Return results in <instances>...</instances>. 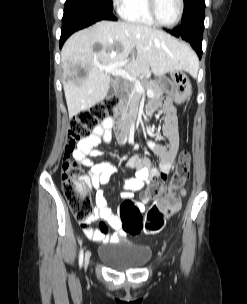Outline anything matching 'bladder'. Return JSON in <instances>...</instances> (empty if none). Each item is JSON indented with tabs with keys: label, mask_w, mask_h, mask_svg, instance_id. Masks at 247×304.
Returning <instances> with one entry per match:
<instances>
[{
	"label": "bladder",
	"mask_w": 247,
	"mask_h": 304,
	"mask_svg": "<svg viewBox=\"0 0 247 304\" xmlns=\"http://www.w3.org/2000/svg\"><path fill=\"white\" fill-rule=\"evenodd\" d=\"M151 256L150 247L123 240L106 242L98 250V257L105 265L121 272L142 268Z\"/></svg>",
	"instance_id": "obj_1"
}]
</instances>
